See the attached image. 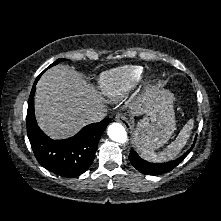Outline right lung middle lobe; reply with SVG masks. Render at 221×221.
<instances>
[{"label":"right lung middle lobe","mask_w":221,"mask_h":221,"mask_svg":"<svg viewBox=\"0 0 221 221\" xmlns=\"http://www.w3.org/2000/svg\"><path fill=\"white\" fill-rule=\"evenodd\" d=\"M64 59H58V60H56L53 64H51L48 68H50V67H52V66H54V65H56V64H58L60 61H63ZM48 68H46L44 71H46Z\"/></svg>","instance_id":"dd1d6c3e"}]
</instances>
